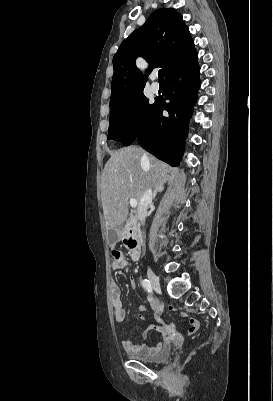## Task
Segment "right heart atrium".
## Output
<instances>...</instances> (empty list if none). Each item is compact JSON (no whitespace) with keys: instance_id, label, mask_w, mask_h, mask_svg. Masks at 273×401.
<instances>
[{"instance_id":"1","label":"right heart atrium","mask_w":273,"mask_h":401,"mask_svg":"<svg viewBox=\"0 0 273 401\" xmlns=\"http://www.w3.org/2000/svg\"><path fill=\"white\" fill-rule=\"evenodd\" d=\"M132 118L134 119V118H135V116H134V115H132Z\"/></svg>"}]
</instances>
